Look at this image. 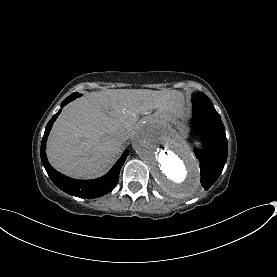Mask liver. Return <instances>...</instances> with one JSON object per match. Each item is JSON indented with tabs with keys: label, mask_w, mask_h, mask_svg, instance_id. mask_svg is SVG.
<instances>
[{
	"label": "liver",
	"mask_w": 277,
	"mask_h": 277,
	"mask_svg": "<svg viewBox=\"0 0 277 277\" xmlns=\"http://www.w3.org/2000/svg\"><path fill=\"white\" fill-rule=\"evenodd\" d=\"M177 91L106 90L89 93L70 104L54 125L48 143L50 162L59 171L75 177L102 173L125 143L117 133H126L129 123L151 109L172 113Z\"/></svg>",
	"instance_id": "obj_1"
}]
</instances>
